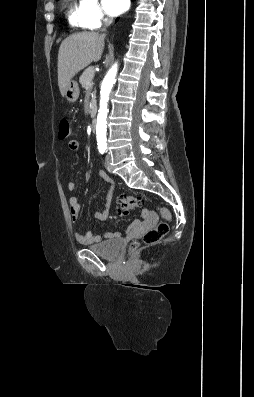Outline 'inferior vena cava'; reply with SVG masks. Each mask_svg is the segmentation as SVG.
<instances>
[{
	"label": "inferior vena cava",
	"mask_w": 254,
	"mask_h": 397,
	"mask_svg": "<svg viewBox=\"0 0 254 397\" xmlns=\"http://www.w3.org/2000/svg\"><path fill=\"white\" fill-rule=\"evenodd\" d=\"M111 23H112V20H111V19H105V20H104V26H103V29H102V30H106V28H107ZM102 37L104 38V37H105V34H103Z\"/></svg>",
	"instance_id": "inferior-vena-cava-1"
}]
</instances>
